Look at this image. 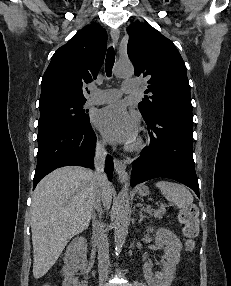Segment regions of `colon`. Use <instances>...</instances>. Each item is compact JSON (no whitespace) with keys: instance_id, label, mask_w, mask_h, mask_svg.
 <instances>
[{"instance_id":"colon-1","label":"colon","mask_w":231,"mask_h":286,"mask_svg":"<svg viewBox=\"0 0 231 286\" xmlns=\"http://www.w3.org/2000/svg\"><path fill=\"white\" fill-rule=\"evenodd\" d=\"M179 221L183 226V233L186 238L187 248L191 250L194 245V239L199 233L198 210L195 205L190 204L181 209ZM43 286H51L45 284Z\"/></svg>"}]
</instances>
